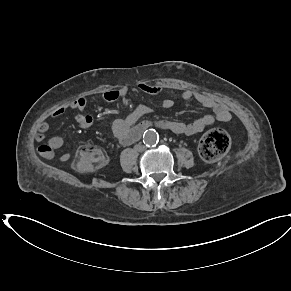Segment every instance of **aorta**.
<instances>
[{
  "mask_svg": "<svg viewBox=\"0 0 291 291\" xmlns=\"http://www.w3.org/2000/svg\"><path fill=\"white\" fill-rule=\"evenodd\" d=\"M158 138V133L153 129L147 130L143 135V141L147 146H154Z\"/></svg>",
  "mask_w": 291,
  "mask_h": 291,
  "instance_id": "762f6f07",
  "label": "aorta"
}]
</instances>
